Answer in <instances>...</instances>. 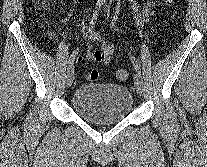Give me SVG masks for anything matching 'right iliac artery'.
Wrapping results in <instances>:
<instances>
[{
  "label": "right iliac artery",
  "mask_w": 207,
  "mask_h": 167,
  "mask_svg": "<svg viewBox=\"0 0 207 167\" xmlns=\"http://www.w3.org/2000/svg\"><path fill=\"white\" fill-rule=\"evenodd\" d=\"M101 5H102L101 0H98V2H97V4H96V7H95V10H94V13H93V16H92V19H91L90 24H89L88 31H90V30L93 28V26L95 25L96 20H97V17H98L99 10H100V8H101ZM86 37H87V34H86ZM78 50H79V49H76V50L73 52V54L71 55V57L69 58V60H68L69 67L73 64V62H74V57H75V55H77Z\"/></svg>",
  "instance_id": "right-iliac-artery-1"
}]
</instances>
